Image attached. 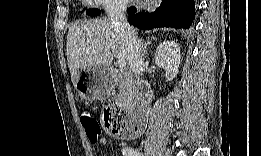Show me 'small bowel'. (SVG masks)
Wrapping results in <instances>:
<instances>
[{"mask_svg": "<svg viewBox=\"0 0 261 156\" xmlns=\"http://www.w3.org/2000/svg\"><path fill=\"white\" fill-rule=\"evenodd\" d=\"M97 143L99 145H105L107 143V139L104 138V137H101V138L98 139Z\"/></svg>", "mask_w": 261, "mask_h": 156, "instance_id": "small-bowel-1", "label": "small bowel"}]
</instances>
